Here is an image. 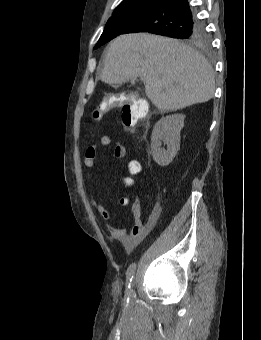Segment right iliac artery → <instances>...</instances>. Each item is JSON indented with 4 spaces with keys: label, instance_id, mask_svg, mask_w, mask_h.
I'll return each mask as SVG.
<instances>
[{
    "label": "right iliac artery",
    "instance_id": "obj_1",
    "mask_svg": "<svg viewBox=\"0 0 261 340\" xmlns=\"http://www.w3.org/2000/svg\"><path fill=\"white\" fill-rule=\"evenodd\" d=\"M136 270V263H132L126 272V298H125V302L128 304L129 300H130V295H131V282L134 276Z\"/></svg>",
    "mask_w": 261,
    "mask_h": 340
}]
</instances>
